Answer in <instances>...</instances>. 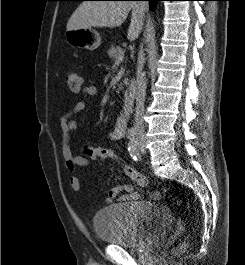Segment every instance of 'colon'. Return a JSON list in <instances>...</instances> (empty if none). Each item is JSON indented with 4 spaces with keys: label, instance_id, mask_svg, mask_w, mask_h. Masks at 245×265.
<instances>
[{
    "label": "colon",
    "instance_id": "obj_1",
    "mask_svg": "<svg viewBox=\"0 0 245 265\" xmlns=\"http://www.w3.org/2000/svg\"><path fill=\"white\" fill-rule=\"evenodd\" d=\"M66 82L69 87V89L74 93H80L81 87H82V79L81 77L74 71H70L66 75ZM84 153L86 156L92 158V159H100V160H108L116 163L120 166V168L123 170V172L131 178L134 182L141 186H147L148 180L145 176L134 170L132 167L126 165L123 163L120 158L117 156V154L112 150L100 146H86L84 149ZM166 190H164L165 192ZM174 203L177 205L181 204V200L177 197H173ZM187 246V242L184 241L181 244H179L175 251H182Z\"/></svg>",
    "mask_w": 245,
    "mask_h": 265
}]
</instances>
